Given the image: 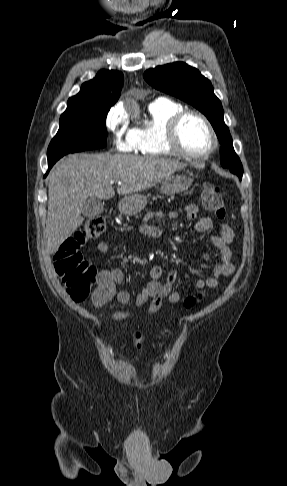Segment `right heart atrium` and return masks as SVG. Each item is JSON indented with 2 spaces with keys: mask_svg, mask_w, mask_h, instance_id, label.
Returning <instances> with one entry per match:
<instances>
[{
  "mask_svg": "<svg viewBox=\"0 0 287 486\" xmlns=\"http://www.w3.org/2000/svg\"><path fill=\"white\" fill-rule=\"evenodd\" d=\"M105 127L114 135V147L120 152H131L134 143L131 130L128 129V119L119 107H112L106 114Z\"/></svg>",
  "mask_w": 287,
  "mask_h": 486,
  "instance_id": "obj_1",
  "label": "right heart atrium"
}]
</instances>
